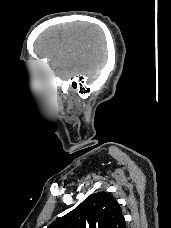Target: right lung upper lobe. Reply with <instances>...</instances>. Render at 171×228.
Returning <instances> with one entry per match:
<instances>
[{
  "label": "right lung upper lobe",
  "instance_id": "right-lung-upper-lobe-1",
  "mask_svg": "<svg viewBox=\"0 0 171 228\" xmlns=\"http://www.w3.org/2000/svg\"><path fill=\"white\" fill-rule=\"evenodd\" d=\"M48 228H126L116 199L106 192L87 197L74 210Z\"/></svg>",
  "mask_w": 171,
  "mask_h": 228
}]
</instances>
